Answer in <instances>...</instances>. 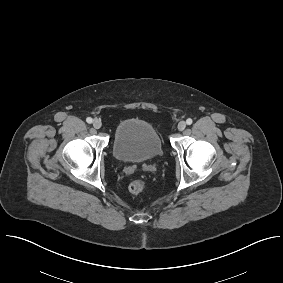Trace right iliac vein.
Segmentation results:
<instances>
[{
    "label": "right iliac vein",
    "mask_w": 283,
    "mask_h": 283,
    "mask_svg": "<svg viewBox=\"0 0 283 283\" xmlns=\"http://www.w3.org/2000/svg\"><path fill=\"white\" fill-rule=\"evenodd\" d=\"M101 126H102V123H101L100 120L95 119V120L93 121V127H94L95 129H100Z\"/></svg>",
    "instance_id": "right-iliac-vein-1"
}]
</instances>
